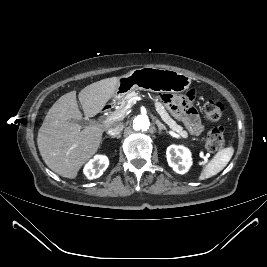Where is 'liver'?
I'll list each match as a JSON object with an SVG mask.
<instances>
[{"label": "liver", "instance_id": "liver-1", "mask_svg": "<svg viewBox=\"0 0 267 267\" xmlns=\"http://www.w3.org/2000/svg\"><path fill=\"white\" fill-rule=\"evenodd\" d=\"M120 77L106 78L83 88L78 95L84 115H97L114 96ZM76 91L61 96L49 109L38 131L37 144L45 164L62 177L76 178L80 168L97 152L102 134L113 123L82 128Z\"/></svg>", "mask_w": 267, "mask_h": 267}]
</instances>
